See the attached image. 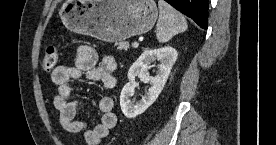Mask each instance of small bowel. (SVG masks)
Instances as JSON below:
<instances>
[{"mask_svg": "<svg viewBox=\"0 0 276 145\" xmlns=\"http://www.w3.org/2000/svg\"><path fill=\"white\" fill-rule=\"evenodd\" d=\"M115 69L116 60L113 57L106 56L98 61L95 49L81 45L76 50L73 65H60L51 72V80L57 86L54 106L59 112L60 124L67 132L81 135L87 145H99L115 127L114 101L110 96H102L99 99L101 121L92 129H88L86 122L76 117L81 101L74 99V86L71 81L86 75L89 79L100 82L105 88L112 89L116 84Z\"/></svg>", "mask_w": 276, "mask_h": 145, "instance_id": "small-bowel-1", "label": "small bowel"}]
</instances>
